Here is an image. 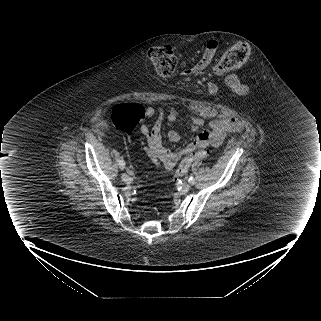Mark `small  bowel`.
<instances>
[{
	"label": "small bowel",
	"instance_id": "c3829d8e",
	"mask_svg": "<svg viewBox=\"0 0 321 321\" xmlns=\"http://www.w3.org/2000/svg\"><path fill=\"white\" fill-rule=\"evenodd\" d=\"M219 48V43L215 39H211L206 43L205 49L199 58V60L185 73L187 75L198 73L204 70L213 60ZM252 78L247 76L243 81H240L236 77L229 75L226 77L225 82L230 86L231 91L235 95L249 93ZM208 94L213 95L217 91V85L213 81H209L205 85ZM147 118H153L158 116V121L150 127L144 124L141 127V132L147 138V151L151 160L155 164H161L165 169H173L177 162L188 153L192 152L196 147V139L185 145L178 150H170L164 144L161 136L162 121L177 122L182 118V115L177 109L163 110L161 108L148 107L146 109ZM192 131H198L204 125V119L200 116H192L186 120ZM243 128L240 121L231 117H218L210 121L209 129L205 130L210 133V142L212 146H220L224 143L229 134L239 132ZM204 132V131H203ZM202 132V133H203ZM201 134V133H200ZM199 134V135H200ZM198 135V136H199ZM180 134L175 130L168 132V139L171 142H179Z\"/></svg>",
	"mask_w": 321,
	"mask_h": 321
}]
</instances>
